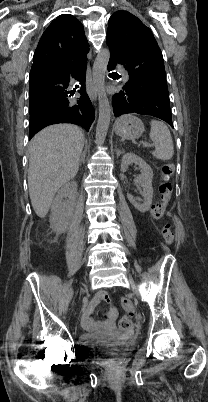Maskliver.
<instances>
[{"mask_svg": "<svg viewBox=\"0 0 208 402\" xmlns=\"http://www.w3.org/2000/svg\"><path fill=\"white\" fill-rule=\"evenodd\" d=\"M84 136L73 124H55L34 136L29 146L28 188L38 218L47 216L53 198L79 170Z\"/></svg>", "mask_w": 208, "mask_h": 402, "instance_id": "liver-1", "label": "liver"}]
</instances>
